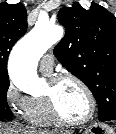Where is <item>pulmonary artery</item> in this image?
<instances>
[{
  "instance_id": "e3ab8cb5",
  "label": "pulmonary artery",
  "mask_w": 116,
  "mask_h": 134,
  "mask_svg": "<svg viewBox=\"0 0 116 134\" xmlns=\"http://www.w3.org/2000/svg\"><path fill=\"white\" fill-rule=\"evenodd\" d=\"M40 71L43 74H50L54 67V58L51 54L42 57L40 61Z\"/></svg>"
}]
</instances>
